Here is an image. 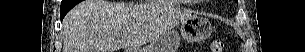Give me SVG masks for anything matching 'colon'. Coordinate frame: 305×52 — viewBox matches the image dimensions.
Wrapping results in <instances>:
<instances>
[{
  "mask_svg": "<svg viewBox=\"0 0 305 52\" xmlns=\"http://www.w3.org/2000/svg\"><path fill=\"white\" fill-rule=\"evenodd\" d=\"M224 47V42L220 39H214L210 44V49L212 52H223Z\"/></svg>",
  "mask_w": 305,
  "mask_h": 52,
  "instance_id": "5ec220e1",
  "label": "colon"
}]
</instances>
